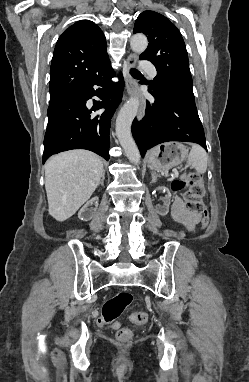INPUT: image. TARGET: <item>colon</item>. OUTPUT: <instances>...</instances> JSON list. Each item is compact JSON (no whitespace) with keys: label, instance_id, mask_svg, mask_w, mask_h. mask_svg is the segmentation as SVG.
<instances>
[{"label":"colon","instance_id":"obj_1","mask_svg":"<svg viewBox=\"0 0 249 382\" xmlns=\"http://www.w3.org/2000/svg\"><path fill=\"white\" fill-rule=\"evenodd\" d=\"M188 185V189L184 192V201L189 212L200 214L202 217V225L208 222V210L203 204L204 186L200 175L192 173L188 181L178 179L172 182L174 191H181ZM132 302V295L128 291L118 292L109 298L102 306L101 317L98 320L99 325H111L114 329H118L116 337L119 341L128 343L132 339V331L129 328H120L117 319L121 316L126 307ZM135 323L144 324L148 321V314L144 311L136 312L132 315ZM120 328V329H119Z\"/></svg>","mask_w":249,"mask_h":382}]
</instances>
